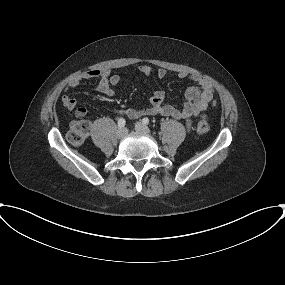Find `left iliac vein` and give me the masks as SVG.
<instances>
[{"label": "left iliac vein", "instance_id": "1", "mask_svg": "<svg viewBox=\"0 0 285 285\" xmlns=\"http://www.w3.org/2000/svg\"><path fill=\"white\" fill-rule=\"evenodd\" d=\"M135 129L139 133L146 134V135L150 134L149 128L146 125H144L143 123H141V122H137L135 124Z\"/></svg>", "mask_w": 285, "mask_h": 285}]
</instances>
